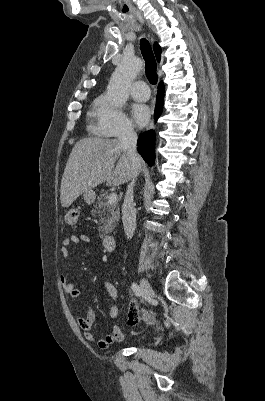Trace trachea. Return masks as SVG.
Wrapping results in <instances>:
<instances>
[{
  "mask_svg": "<svg viewBox=\"0 0 265 401\" xmlns=\"http://www.w3.org/2000/svg\"><path fill=\"white\" fill-rule=\"evenodd\" d=\"M140 49L143 58L145 60L146 76L149 82L152 85H155L158 81V75L156 73V68H157L156 59L153 54L150 43L144 38L140 41Z\"/></svg>",
  "mask_w": 265,
  "mask_h": 401,
  "instance_id": "3493384b",
  "label": "trachea"
}]
</instances>
